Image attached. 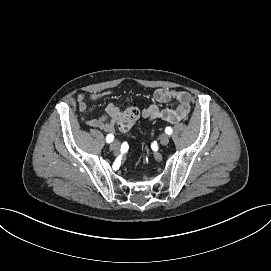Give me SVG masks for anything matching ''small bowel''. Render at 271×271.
<instances>
[{
	"label": "small bowel",
	"mask_w": 271,
	"mask_h": 271,
	"mask_svg": "<svg viewBox=\"0 0 271 271\" xmlns=\"http://www.w3.org/2000/svg\"><path fill=\"white\" fill-rule=\"evenodd\" d=\"M109 94H111L110 91L91 93L88 97L84 94H79L77 97L78 107L81 112L85 113L88 108V99L96 100ZM153 98L156 103L150 105L142 112V116L146 120L152 121L161 119L166 123L174 124L185 120L190 113L192 97L187 91L159 88L154 91ZM170 101L177 102V107L175 109H163L158 105L168 103ZM120 117V107L114 103H109L105 109L104 115L91 118L86 122L92 128L110 133L115 130Z\"/></svg>",
	"instance_id": "obj_1"
}]
</instances>
